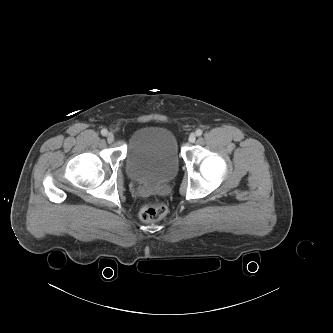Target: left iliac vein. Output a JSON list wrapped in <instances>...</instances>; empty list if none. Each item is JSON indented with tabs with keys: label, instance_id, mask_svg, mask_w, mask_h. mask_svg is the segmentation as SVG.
<instances>
[{
	"label": "left iliac vein",
	"instance_id": "left-iliac-vein-1",
	"mask_svg": "<svg viewBox=\"0 0 333 333\" xmlns=\"http://www.w3.org/2000/svg\"><path fill=\"white\" fill-rule=\"evenodd\" d=\"M188 140L190 143H194L196 140V135L194 133H191Z\"/></svg>",
	"mask_w": 333,
	"mask_h": 333
}]
</instances>
